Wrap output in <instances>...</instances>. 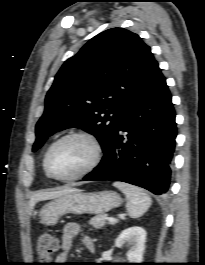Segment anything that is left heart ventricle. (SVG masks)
<instances>
[{
  "mask_svg": "<svg viewBox=\"0 0 205 265\" xmlns=\"http://www.w3.org/2000/svg\"><path fill=\"white\" fill-rule=\"evenodd\" d=\"M92 157L91 145L82 138H69L50 153L49 168L58 176H70L80 171Z\"/></svg>",
  "mask_w": 205,
  "mask_h": 265,
  "instance_id": "1",
  "label": "left heart ventricle"
}]
</instances>
